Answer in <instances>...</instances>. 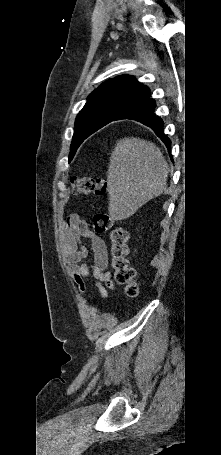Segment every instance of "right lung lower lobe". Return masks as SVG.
<instances>
[{"label": "right lung lower lobe", "instance_id": "right-lung-lower-lobe-1", "mask_svg": "<svg viewBox=\"0 0 221 455\" xmlns=\"http://www.w3.org/2000/svg\"><path fill=\"white\" fill-rule=\"evenodd\" d=\"M156 104L149 97L123 112L117 119H132L150 127L161 138L169 150L170 140L163 132V121L154 114Z\"/></svg>", "mask_w": 221, "mask_h": 455}]
</instances>
